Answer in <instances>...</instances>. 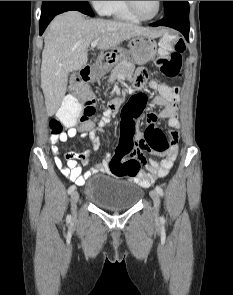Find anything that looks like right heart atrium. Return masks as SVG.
I'll list each match as a JSON object with an SVG mask.
<instances>
[{"mask_svg":"<svg viewBox=\"0 0 233 295\" xmlns=\"http://www.w3.org/2000/svg\"><path fill=\"white\" fill-rule=\"evenodd\" d=\"M95 11L100 15H107L111 1H89Z\"/></svg>","mask_w":233,"mask_h":295,"instance_id":"d8ad5b80","label":"right heart atrium"}]
</instances>
